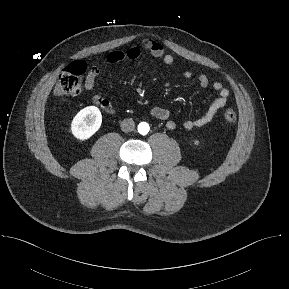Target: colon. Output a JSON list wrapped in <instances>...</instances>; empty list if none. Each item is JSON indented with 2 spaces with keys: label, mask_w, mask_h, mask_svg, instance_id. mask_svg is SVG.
I'll use <instances>...</instances> for the list:
<instances>
[{
  "label": "colon",
  "mask_w": 289,
  "mask_h": 289,
  "mask_svg": "<svg viewBox=\"0 0 289 289\" xmlns=\"http://www.w3.org/2000/svg\"><path fill=\"white\" fill-rule=\"evenodd\" d=\"M87 72V65L83 61H76L70 64L60 75L54 92L58 96H75L82 91L84 75ZM237 116L234 110L228 108L223 113V120L226 125L236 122Z\"/></svg>",
  "instance_id": "obj_1"
}]
</instances>
